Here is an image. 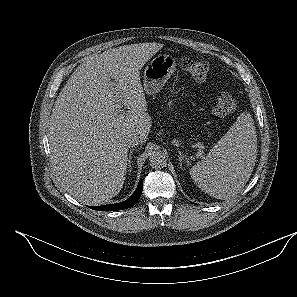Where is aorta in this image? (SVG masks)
Masks as SVG:
<instances>
[{"instance_id": "1", "label": "aorta", "mask_w": 297, "mask_h": 297, "mask_svg": "<svg viewBox=\"0 0 297 297\" xmlns=\"http://www.w3.org/2000/svg\"><path fill=\"white\" fill-rule=\"evenodd\" d=\"M166 155L161 151H153L149 157V164L152 168L161 169L166 166Z\"/></svg>"}]
</instances>
